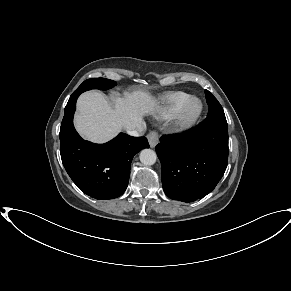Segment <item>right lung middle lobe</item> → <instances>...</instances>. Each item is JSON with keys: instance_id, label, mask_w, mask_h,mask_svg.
<instances>
[{"instance_id": "1", "label": "right lung middle lobe", "mask_w": 291, "mask_h": 291, "mask_svg": "<svg viewBox=\"0 0 291 291\" xmlns=\"http://www.w3.org/2000/svg\"><path fill=\"white\" fill-rule=\"evenodd\" d=\"M116 85V82L113 80L105 79V78H91L88 80H85L76 90V93L81 94L84 91L90 90V89H101V90H107L109 88H112Z\"/></svg>"}]
</instances>
